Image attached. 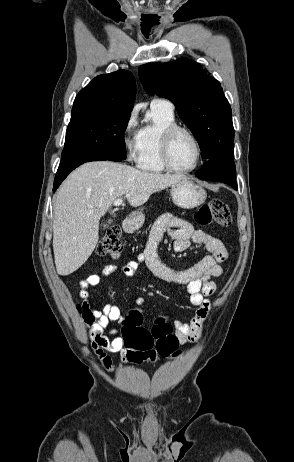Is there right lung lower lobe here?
<instances>
[{
    "mask_svg": "<svg viewBox=\"0 0 294 462\" xmlns=\"http://www.w3.org/2000/svg\"><path fill=\"white\" fill-rule=\"evenodd\" d=\"M107 160L116 161V162L123 161L122 159H119V158H111V159H107ZM83 163H85V162L77 163V164L70 165V166L63 167V168H58L56 176H55V180H54L53 191H55L58 188V186L62 183V181L68 176V174L71 171H73L75 168H77L78 166H80Z\"/></svg>",
    "mask_w": 294,
    "mask_h": 462,
    "instance_id": "right-lung-lower-lobe-1",
    "label": "right lung lower lobe"
}]
</instances>
